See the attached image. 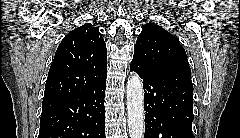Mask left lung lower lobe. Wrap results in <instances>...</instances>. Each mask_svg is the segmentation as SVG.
Returning a JSON list of instances; mask_svg holds the SVG:
<instances>
[{"label": "left lung lower lobe", "instance_id": "1", "mask_svg": "<svg viewBox=\"0 0 240 138\" xmlns=\"http://www.w3.org/2000/svg\"><path fill=\"white\" fill-rule=\"evenodd\" d=\"M130 70L143 80L144 138H194L191 72L182 69L150 70L131 62Z\"/></svg>", "mask_w": 240, "mask_h": 138}]
</instances>
